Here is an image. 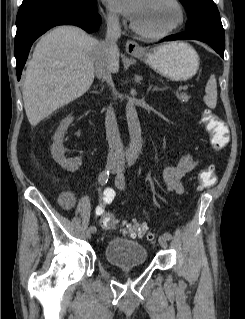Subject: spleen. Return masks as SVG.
Masks as SVG:
<instances>
[{
	"instance_id": "1",
	"label": "spleen",
	"mask_w": 245,
	"mask_h": 319,
	"mask_svg": "<svg viewBox=\"0 0 245 319\" xmlns=\"http://www.w3.org/2000/svg\"><path fill=\"white\" fill-rule=\"evenodd\" d=\"M205 93L204 96V102L209 107L214 109L217 104V82L214 75H211L210 78L207 81L206 87H205Z\"/></svg>"
}]
</instances>
